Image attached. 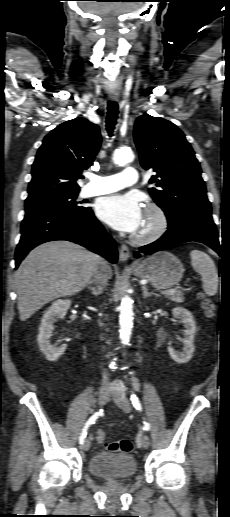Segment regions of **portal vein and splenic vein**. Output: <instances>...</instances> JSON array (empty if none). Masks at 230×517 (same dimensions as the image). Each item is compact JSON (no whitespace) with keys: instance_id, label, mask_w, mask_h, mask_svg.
Segmentation results:
<instances>
[{"instance_id":"obj_1","label":"portal vein and splenic vein","mask_w":230,"mask_h":517,"mask_svg":"<svg viewBox=\"0 0 230 517\" xmlns=\"http://www.w3.org/2000/svg\"><path fill=\"white\" fill-rule=\"evenodd\" d=\"M176 290L175 289H170L168 291H165V292H162V294H172L174 293Z\"/></svg>"}]
</instances>
